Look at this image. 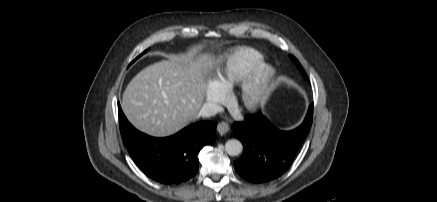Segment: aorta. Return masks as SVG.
Masks as SVG:
<instances>
[{"label":"aorta","mask_w":437,"mask_h":202,"mask_svg":"<svg viewBox=\"0 0 437 202\" xmlns=\"http://www.w3.org/2000/svg\"><path fill=\"white\" fill-rule=\"evenodd\" d=\"M243 146L239 140L231 139L225 144V151L230 156H237L242 152Z\"/></svg>","instance_id":"762f6f07"}]
</instances>
